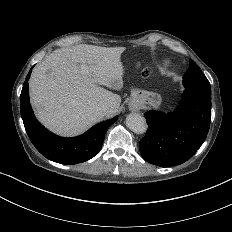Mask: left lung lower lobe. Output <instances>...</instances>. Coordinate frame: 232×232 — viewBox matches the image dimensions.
I'll list each match as a JSON object with an SVG mask.
<instances>
[{
	"mask_svg": "<svg viewBox=\"0 0 232 232\" xmlns=\"http://www.w3.org/2000/svg\"><path fill=\"white\" fill-rule=\"evenodd\" d=\"M148 130L140 153L149 163L171 167L190 159L206 139L211 122V100L185 90L178 109L145 112Z\"/></svg>",
	"mask_w": 232,
	"mask_h": 232,
	"instance_id": "left-lung-lower-lobe-1",
	"label": "left lung lower lobe"
}]
</instances>
